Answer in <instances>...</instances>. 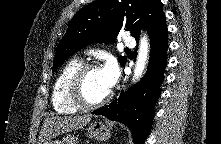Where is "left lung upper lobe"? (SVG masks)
Segmentation results:
<instances>
[{
	"instance_id": "5c2ea615",
	"label": "left lung upper lobe",
	"mask_w": 221,
	"mask_h": 144,
	"mask_svg": "<svg viewBox=\"0 0 221 144\" xmlns=\"http://www.w3.org/2000/svg\"><path fill=\"white\" fill-rule=\"evenodd\" d=\"M163 15L161 0H97L86 5L74 15L61 39L52 72L85 45L113 42L123 26L138 40L140 26L150 33ZM118 60L121 66L127 61L124 56Z\"/></svg>"
}]
</instances>
